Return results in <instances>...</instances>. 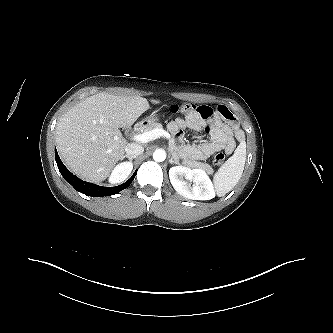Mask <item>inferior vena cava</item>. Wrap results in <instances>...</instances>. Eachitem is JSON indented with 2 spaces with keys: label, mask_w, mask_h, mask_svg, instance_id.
Wrapping results in <instances>:
<instances>
[{
  "label": "inferior vena cava",
  "mask_w": 333,
  "mask_h": 333,
  "mask_svg": "<svg viewBox=\"0 0 333 333\" xmlns=\"http://www.w3.org/2000/svg\"><path fill=\"white\" fill-rule=\"evenodd\" d=\"M125 152L128 156L136 157L144 152V148L140 144L129 143L125 148Z\"/></svg>",
  "instance_id": "obj_1"
}]
</instances>
